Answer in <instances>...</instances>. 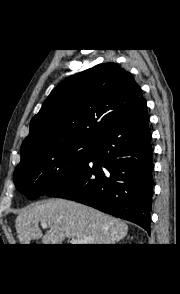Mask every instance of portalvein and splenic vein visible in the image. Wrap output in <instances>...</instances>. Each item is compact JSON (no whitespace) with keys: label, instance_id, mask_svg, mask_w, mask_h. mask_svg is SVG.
<instances>
[{"label":"portal vein and splenic vein","instance_id":"1","mask_svg":"<svg viewBox=\"0 0 180 294\" xmlns=\"http://www.w3.org/2000/svg\"><path fill=\"white\" fill-rule=\"evenodd\" d=\"M41 225H42L43 228H47V224L46 223H41ZM71 243L78 245V244H82L83 241L80 240V239H78V238H74V239L71 240Z\"/></svg>","mask_w":180,"mask_h":294}]
</instances>
